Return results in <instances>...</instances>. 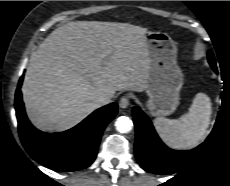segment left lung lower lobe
<instances>
[{"label":"left lung lower lobe","instance_id":"left-lung-lower-lobe-1","mask_svg":"<svg viewBox=\"0 0 230 186\" xmlns=\"http://www.w3.org/2000/svg\"><path fill=\"white\" fill-rule=\"evenodd\" d=\"M132 115L136 130L135 155L140 166L150 173L172 174L177 172L181 167L197 158L212 135L195 149L175 151L162 143L148 116L139 107L133 108Z\"/></svg>","mask_w":230,"mask_h":186}]
</instances>
